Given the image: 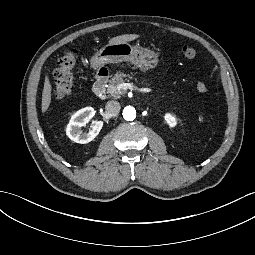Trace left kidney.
I'll return each mask as SVG.
<instances>
[{"label": "left kidney", "mask_w": 255, "mask_h": 255, "mask_svg": "<svg viewBox=\"0 0 255 255\" xmlns=\"http://www.w3.org/2000/svg\"><path fill=\"white\" fill-rule=\"evenodd\" d=\"M164 118L170 127H175L177 125V119L175 115L171 113H166Z\"/></svg>", "instance_id": "left-kidney-1"}]
</instances>
